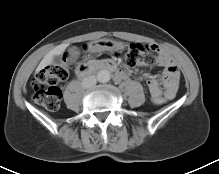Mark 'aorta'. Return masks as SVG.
<instances>
[{
	"instance_id": "762f6f07",
	"label": "aorta",
	"mask_w": 219,
	"mask_h": 174,
	"mask_svg": "<svg viewBox=\"0 0 219 174\" xmlns=\"http://www.w3.org/2000/svg\"><path fill=\"white\" fill-rule=\"evenodd\" d=\"M111 79V73L108 70H101L97 74V80L101 83H106Z\"/></svg>"
}]
</instances>
